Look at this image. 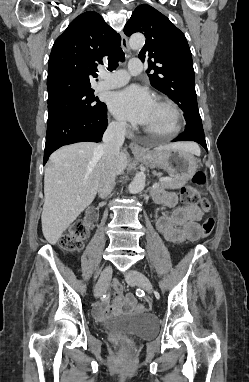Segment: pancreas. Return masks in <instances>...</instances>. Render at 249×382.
I'll list each match as a JSON object with an SVG mask.
<instances>
[{"mask_svg": "<svg viewBox=\"0 0 249 382\" xmlns=\"http://www.w3.org/2000/svg\"><path fill=\"white\" fill-rule=\"evenodd\" d=\"M157 175L160 177L162 173H158ZM167 178H169V180L160 182V187L158 188L159 191H162L164 189H179L186 184V180L183 178H177V177H167Z\"/></svg>", "mask_w": 249, "mask_h": 382, "instance_id": "1", "label": "pancreas"}]
</instances>
